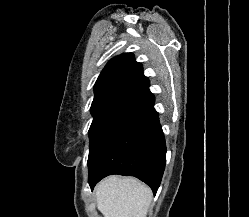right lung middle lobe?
<instances>
[{
	"mask_svg": "<svg viewBox=\"0 0 249 217\" xmlns=\"http://www.w3.org/2000/svg\"><path fill=\"white\" fill-rule=\"evenodd\" d=\"M122 94L120 93H111V94H105L103 96H99L94 98L91 106V113L93 115V121L91 124V127L89 129V137L90 140L92 138V135L99 124L101 118L107 111V109L116 101L119 99V97Z\"/></svg>",
	"mask_w": 249,
	"mask_h": 217,
	"instance_id": "obj_1",
	"label": "right lung middle lobe"
}]
</instances>
